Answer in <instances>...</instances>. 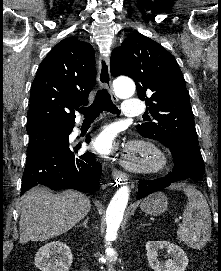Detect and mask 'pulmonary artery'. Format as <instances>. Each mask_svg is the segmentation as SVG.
I'll return each mask as SVG.
<instances>
[{
	"label": "pulmonary artery",
	"instance_id": "pulmonary-artery-1",
	"mask_svg": "<svg viewBox=\"0 0 221 271\" xmlns=\"http://www.w3.org/2000/svg\"><path fill=\"white\" fill-rule=\"evenodd\" d=\"M146 102H139V98H128L125 102L123 117H138V112H145Z\"/></svg>",
	"mask_w": 221,
	"mask_h": 271
}]
</instances>
